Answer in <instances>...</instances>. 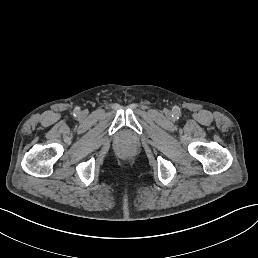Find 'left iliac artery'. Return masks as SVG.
<instances>
[{
  "mask_svg": "<svg viewBox=\"0 0 258 258\" xmlns=\"http://www.w3.org/2000/svg\"><path fill=\"white\" fill-rule=\"evenodd\" d=\"M181 116V111H180V108H175L173 110V113H172V117L175 119V120H178Z\"/></svg>",
  "mask_w": 258,
  "mask_h": 258,
  "instance_id": "44dca946",
  "label": "left iliac artery"
}]
</instances>
